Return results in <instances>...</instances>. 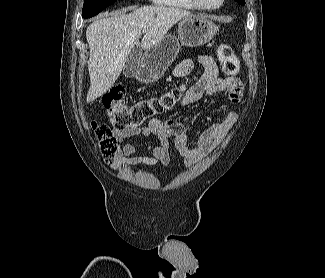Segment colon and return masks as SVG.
<instances>
[{"mask_svg":"<svg viewBox=\"0 0 325 278\" xmlns=\"http://www.w3.org/2000/svg\"><path fill=\"white\" fill-rule=\"evenodd\" d=\"M217 58L228 77L238 75L240 61L231 46L221 44L217 49ZM182 93V88L174 87L160 96L128 105L125 101V89L114 86L102 96V105L107 111L113 129L124 130L140 127L146 121L171 109L181 99ZM93 130L100 143L101 152L104 155H113L116 151L113 130L101 123H93Z\"/></svg>","mask_w":325,"mask_h":278,"instance_id":"1","label":"colon"}]
</instances>
